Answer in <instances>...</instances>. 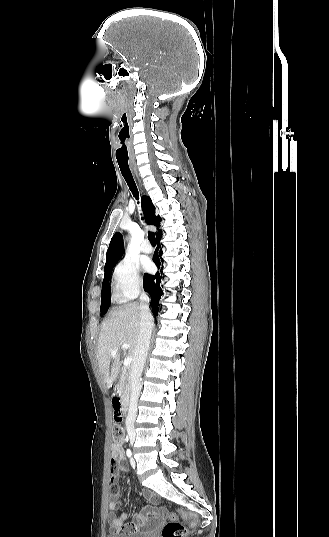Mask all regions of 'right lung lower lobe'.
<instances>
[{"mask_svg":"<svg viewBox=\"0 0 329 537\" xmlns=\"http://www.w3.org/2000/svg\"><path fill=\"white\" fill-rule=\"evenodd\" d=\"M160 239H161V235L156 238L157 248L153 256V261L155 262L158 269H160L161 263L163 262V259L159 258V256L162 253L161 251H159ZM162 268L163 266L161 267V269ZM161 278L162 276L159 272H157L155 275L144 274V289L151 296L150 306L152 308V312L154 316H156L159 311V300L163 294L162 289L160 287Z\"/></svg>","mask_w":329,"mask_h":537,"instance_id":"1","label":"right lung lower lobe"}]
</instances>
